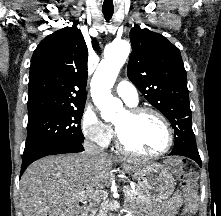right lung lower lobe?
<instances>
[{"label":"right lung lower lobe","instance_id":"obj_1","mask_svg":"<svg viewBox=\"0 0 221 216\" xmlns=\"http://www.w3.org/2000/svg\"><path fill=\"white\" fill-rule=\"evenodd\" d=\"M84 151L83 145L82 144H63V145H59L56 147H52L49 148L39 154H37L34 157L28 158L26 160L22 161V167H21V172L20 175L23 174V172L25 171V169L34 161L48 156V155H56V154H63V153H77V152H82Z\"/></svg>","mask_w":221,"mask_h":216}]
</instances>
